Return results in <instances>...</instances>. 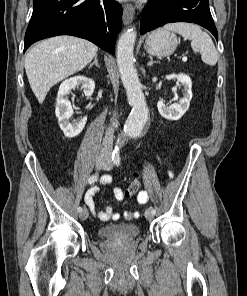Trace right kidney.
<instances>
[{
	"instance_id": "right-kidney-1",
	"label": "right kidney",
	"mask_w": 247,
	"mask_h": 296,
	"mask_svg": "<svg viewBox=\"0 0 247 296\" xmlns=\"http://www.w3.org/2000/svg\"><path fill=\"white\" fill-rule=\"evenodd\" d=\"M77 86H81L86 96H92L95 89V82L82 75L71 77L63 81L59 87L58 95L56 98V109L55 114L58 118L59 126L63 131L64 135L68 138H73L79 135L87 121V117H80L73 122H70L73 110L71 103L68 100V95L72 89Z\"/></svg>"
}]
</instances>
